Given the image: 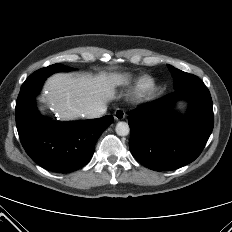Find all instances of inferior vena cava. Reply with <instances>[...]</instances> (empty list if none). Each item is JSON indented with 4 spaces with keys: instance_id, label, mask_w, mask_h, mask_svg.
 I'll use <instances>...</instances> for the list:
<instances>
[{
    "instance_id": "obj_1",
    "label": "inferior vena cava",
    "mask_w": 232,
    "mask_h": 232,
    "mask_svg": "<svg viewBox=\"0 0 232 232\" xmlns=\"http://www.w3.org/2000/svg\"><path fill=\"white\" fill-rule=\"evenodd\" d=\"M107 107L106 105H101L93 110L87 111L85 113V117L92 119V118H99L101 117L103 114L106 113Z\"/></svg>"
}]
</instances>
